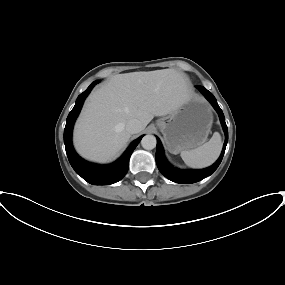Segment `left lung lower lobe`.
Segmentation results:
<instances>
[{
    "label": "left lung lower lobe",
    "instance_id": "1",
    "mask_svg": "<svg viewBox=\"0 0 285 285\" xmlns=\"http://www.w3.org/2000/svg\"><path fill=\"white\" fill-rule=\"evenodd\" d=\"M196 87L205 96V98H207V100L210 101V103L213 105L215 110L218 112L223 130L225 133V142H224L223 150H222V153H221L219 159L212 166H210L206 169H202V170H179V169L174 168L173 166H171L168 163V161L166 160V158L164 156L162 144H161L159 138H157V149H156L157 167H158L159 171L166 178H168L169 180L176 182V183H184V184L195 183V182H198V181L208 177L209 175H211L217 169L219 164L221 163L225 149H226V145L228 142V129H227V125L225 123V117H224V114H223L221 108L219 107L215 97L213 96V94L211 92H209L203 86L197 85Z\"/></svg>",
    "mask_w": 285,
    "mask_h": 285
}]
</instances>
